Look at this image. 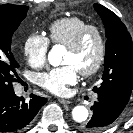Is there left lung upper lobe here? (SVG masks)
<instances>
[{"label":"left lung upper lobe","mask_w":133,"mask_h":133,"mask_svg":"<svg viewBox=\"0 0 133 133\" xmlns=\"http://www.w3.org/2000/svg\"><path fill=\"white\" fill-rule=\"evenodd\" d=\"M103 20L107 37L102 83L96 93L104 92L128 102L133 88L132 39L120 18L106 7L94 4Z\"/></svg>","instance_id":"1"}]
</instances>
